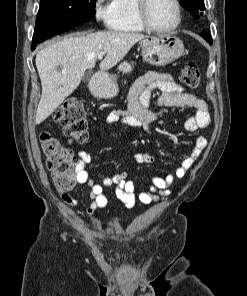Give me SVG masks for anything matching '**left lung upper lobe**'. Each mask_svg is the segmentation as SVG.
I'll return each instance as SVG.
<instances>
[{"mask_svg":"<svg viewBox=\"0 0 247 296\" xmlns=\"http://www.w3.org/2000/svg\"><path fill=\"white\" fill-rule=\"evenodd\" d=\"M183 7L196 18H200L205 10L204 0H180Z\"/></svg>","mask_w":247,"mask_h":296,"instance_id":"5c2ea615","label":"left lung upper lobe"}]
</instances>
